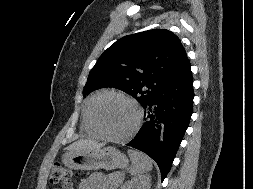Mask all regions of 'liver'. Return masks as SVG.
<instances>
[{"instance_id": "1", "label": "liver", "mask_w": 253, "mask_h": 189, "mask_svg": "<svg viewBox=\"0 0 253 189\" xmlns=\"http://www.w3.org/2000/svg\"><path fill=\"white\" fill-rule=\"evenodd\" d=\"M103 147V144H100L96 141L90 139H80L71 145H69L66 149L69 152H78L82 150H99Z\"/></svg>"}]
</instances>
